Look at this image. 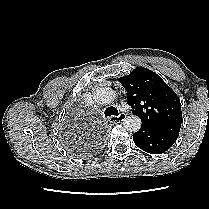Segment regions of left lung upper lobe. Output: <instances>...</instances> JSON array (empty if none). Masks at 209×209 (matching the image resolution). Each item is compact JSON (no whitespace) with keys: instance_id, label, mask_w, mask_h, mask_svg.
<instances>
[{"instance_id":"1","label":"left lung upper lobe","mask_w":209,"mask_h":209,"mask_svg":"<svg viewBox=\"0 0 209 209\" xmlns=\"http://www.w3.org/2000/svg\"><path fill=\"white\" fill-rule=\"evenodd\" d=\"M127 91V102L143 126L178 136L182 122L177 94L155 72L139 67L119 78Z\"/></svg>"}]
</instances>
